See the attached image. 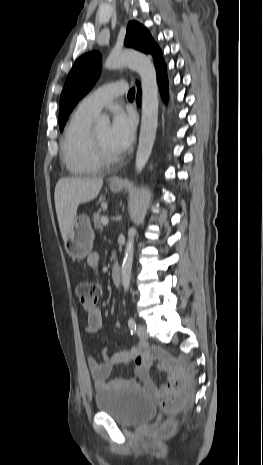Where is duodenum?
<instances>
[{
	"label": "duodenum",
	"instance_id": "410a0bca",
	"mask_svg": "<svg viewBox=\"0 0 263 465\" xmlns=\"http://www.w3.org/2000/svg\"><path fill=\"white\" fill-rule=\"evenodd\" d=\"M112 280L116 286H119L121 283V269L117 264L112 266L111 270Z\"/></svg>",
	"mask_w": 263,
	"mask_h": 465
}]
</instances>
